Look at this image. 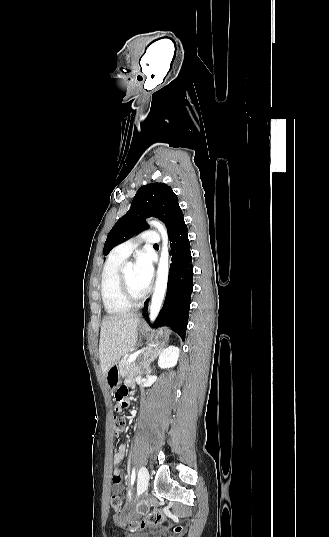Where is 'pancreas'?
<instances>
[{
  "instance_id": "cf45deb5",
  "label": "pancreas",
  "mask_w": 329,
  "mask_h": 537,
  "mask_svg": "<svg viewBox=\"0 0 329 537\" xmlns=\"http://www.w3.org/2000/svg\"><path fill=\"white\" fill-rule=\"evenodd\" d=\"M128 358H129L128 355H126L119 362V374L122 375V376L126 375L128 373V371H130L132 366H133L132 363H128Z\"/></svg>"
}]
</instances>
